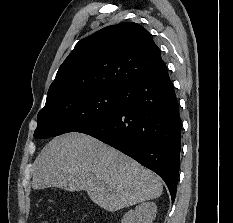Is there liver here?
Returning <instances> with one entry per match:
<instances>
[{
	"instance_id": "6515ba94",
	"label": "liver",
	"mask_w": 233,
	"mask_h": 223,
	"mask_svg": "<svg viewBox=\"0 0 233 223\" xmlns=\"http://www.w3.org/2000/svg\"><path fill=\"white\" fill-rule=\"evenodd\" d=\"M32 169L34 189L54 185L86 191L94 203L108 211L160 197L163 191L156 173L99 139L75 131L51 139Z\"/></svg>"
}]
</instances>
